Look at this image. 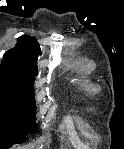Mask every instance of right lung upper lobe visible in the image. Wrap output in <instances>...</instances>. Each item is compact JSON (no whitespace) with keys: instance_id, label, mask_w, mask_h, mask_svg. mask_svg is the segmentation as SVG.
I'll return each instance as SVG.
<instances>
[{"instance_id":"right-lung-upper-lobe-1","label":"right lung upper lobe","mask_w":124,"mask_h":149,"mask_svg":"<svg viewBox=\"0 0 124 149\" xmlns=\"http://www.w3.org/2000/svg\"><path fill=\"white\" fill-rule=\"evenodd\" d=\"M41 54L38 42L29 36H21L13 49L3 56L0 66V79L22 88H33L38 74L37 59Z\"/></svg>"}]
</instances>
